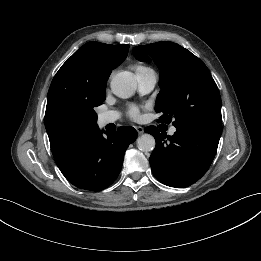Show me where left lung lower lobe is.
Masks as SVG:
<instances>
[{
    "instance_id": "left-lung-lower-lobe-1",
    "label": "left lung lower lobe",
    "mask_w": 261,
    "mask_h": 261,
    "mask_svg": "<svg viewBox=\"0 0 261 261\" xmlns=\"http://www.w3.org/2000/svg\"><path fill=\"white\" fill-rule=\"evenodd\" d=\"M154 136L156 147L149 162L157 180L171 187H187L210 167L222 129L176 128L167 136L155 126L145 128Z\"/></svg>"
}]
</instances>
